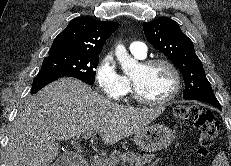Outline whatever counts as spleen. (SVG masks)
Wrapping results in <instances>:
<instances>
[{
  "label": "spleen",
  "mask_w": 231,
  "mask_h": 166,
  "mask_svg": "<svg viewBox=\"0 0 231 166\" xmlns=\"http://www.w3.org/2000/svg\"><path fill=\"white\" fill-rule=\"evenodd\" d=\"M212 166H229L225 153L220 152L213 160Z\"/></svg>",
  "instance_id": "obj_1"
}]
</instances>
